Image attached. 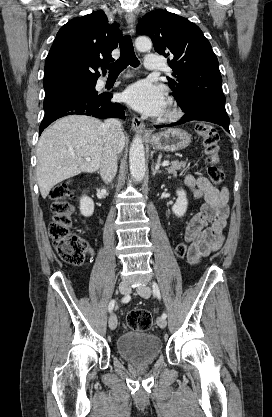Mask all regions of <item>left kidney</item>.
<instances>
[{"label": "left kidney", "instance_id": "1", "mask_svg": "<svg viewBox=\"0 0 272 417\" xmlns=\"http://www.w3.org/2000/svg\"><path fill=\"white\" fill-rule=\"evenodd\" d=\"M177 200L176 203L172 207V212L177 217H182L186 213L187 206H188V200L186 197V192L183 189L177 190Z\"/></svg>", "mask_w": 272, "mask_h": 417}]
</instances>
